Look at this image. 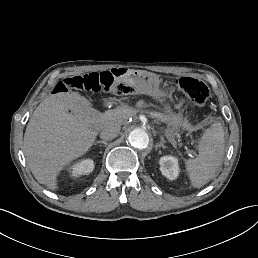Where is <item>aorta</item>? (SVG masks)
<instances>
[{"instance_id":"aorta-1","label":"aorta","mask_w":258,"mask_h":258,"mask_svg":"<svg viewBox=\"0 0 258 258\" xmlns=\"http://www.w3.org/2000/svg\"><path fill=\"white\" fill-rule=\"evenodd\" d=\"M128 141L136 149H145L149 144V136L142 128H136L129 133Z\"/></svg>"}]
</instances>
